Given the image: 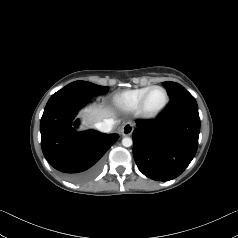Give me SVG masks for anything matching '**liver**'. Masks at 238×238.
Wrapping results in <instances>:
<instances>
[{
    "label": "liver",
    "instance_id": "liver-1",
    "mask_svg": "<svg viewBox=\"0 0 238 238\" xmlns=\"http://www.w3.org/2000/svg\"><path fill=\"white\" fill-rule=\"evenodd\" d=\"M80 116L83 117V124L90 126L106 119H111L113 112L101 106H90L82 110Z\"/></svg>",
    "mask_w": 238,
    "mask_h": 238
}]
</instances>
